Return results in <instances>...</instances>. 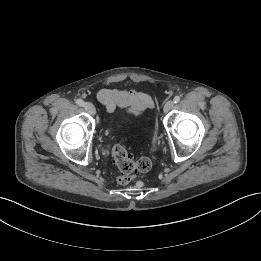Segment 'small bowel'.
<instances>
[{"label":"small bowel","instance_id":"1","mask_svg":"<svg viewBox=\"0 0 261 261\" xmlns=\"http://www.w3.org/2000/svg\"><path fill=\"white\" fill-rule=\"evenodd\" d=\"M97 98L109 113H113L117 108H124L139 114L151 104L148 95L134 90L104 88L98 92Z\"/></svg>","mask_w":261,"mask_h":261}]
</instances>
